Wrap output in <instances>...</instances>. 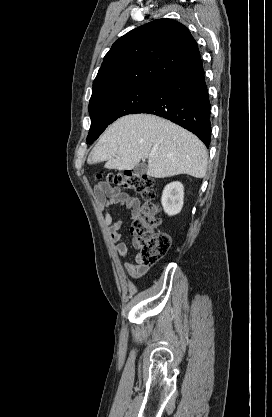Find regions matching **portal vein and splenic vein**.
I'll list each match as a JSON object with an SVG mask.
<instances>
[{"label":"portal vein and splenic vein","mask_w":272,"mask_h":417,"mask_svg":"<svg viewBox=\"0 0 272 417\" xmlns=\"http://www.w3.org/2000/svg\"><path fill=\"white\" fill-rule=\"evenodd\" d=\"M155 155V152L154 151H152L151 153H150V157H153Z\"/></svg>","instance_id":"1"}]
</instances>
